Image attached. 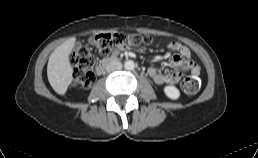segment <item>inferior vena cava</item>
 I'll return each instance as SVG.
<instances>
[{
	"label": "inferior vena cava",
	"mask_w": 258,
	"mask_h": 158,
	"mask_svg": "<svg viewBox=\"0 0 258 158\" xmlns=\"http://www.w3.org/2000/svg\"><path fill=\"white\" fill-rule=\"evenodd\" d=\"M122 69V63L117 60H112L106 65L107 72H114Z\"/></svg>",
	"instance_id": "602c4592"
}]
</instances>
